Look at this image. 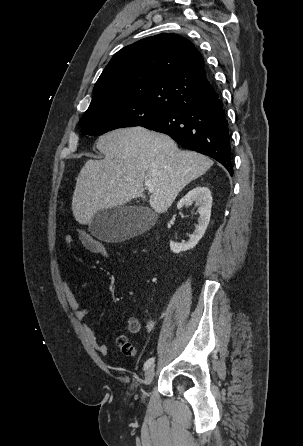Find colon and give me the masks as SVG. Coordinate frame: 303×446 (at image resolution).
<instances>
[{
  "instance_id": "1",
  "label": "colon",
  "mask_w": 303,
  "mask_h": 446,
  "mask_svg": "<svg viewBox=\"0 0 303 446\" xmlns=\"http://www.w3.org/2000/svg\"><path fill=\"white\" fill-rule=\"evenodd\" d=\"M78 233L84 232L83 229H77ZM96 255L102 257H108L109 251L107 246L101 241L97 240L96 243ZM117 346L121 350V352L127 356H133L136 352L134 345L128 340V338L124 335H119L116 339Z\"/></svg>"
}]
</instances>
